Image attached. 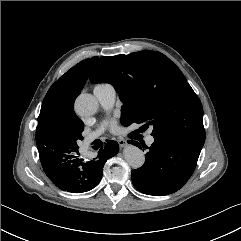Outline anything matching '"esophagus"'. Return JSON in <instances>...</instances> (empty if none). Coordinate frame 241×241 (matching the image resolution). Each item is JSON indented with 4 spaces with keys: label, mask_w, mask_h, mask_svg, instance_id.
<instances>
[{
    "label": "esophagus",
    "mask_w": 241,
    "mask_h": 241,
    "mask_svg": "<svg viewBox=\"0 0 241 241\" xmlns=\"http://www.w3.org/2000/svg\"><path fill=\"white\" fill-rule=\"evenodd\" d=\"M117 142H118V144H119V146H120L121 148H123V147H125V146L127 145L126 140H124V139H122V138H119V139L117 140Z\"/></svg>",
    "instance_id": "34e87169"
}]
</instances>
